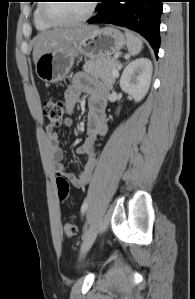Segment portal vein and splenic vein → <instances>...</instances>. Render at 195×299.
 Instances as JSON below:
<instances>
[{
	"instance_id": "obj_1",
	"label": "portal vein and splenic vein",
	"mask_w": 195,
	"mask_h": 299,
	"mask_svg": "<svg viewBox=\"0 0 195 299\" xmlns=\"http://www.w3.org/2000/svg\"><path fill=\"white\" fill-rule=\"evenodd\" d=\"M113 75H114L115 77L118 76V70H117L116 68L113 69Z\"/></svg>"
}]
</instances>
